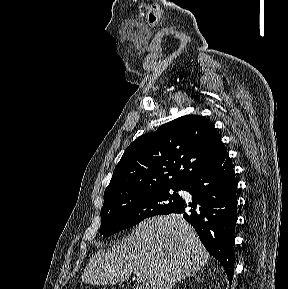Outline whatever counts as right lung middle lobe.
Returning a JSON list of instances; mask_svg holds the SVG:
<instances>
[{
  "instance_id": "dd1d6c3e",
  "label": "right lung middle lobe",
  "mask_w": 288,
  "mask_h": 289,
  "mask_svg": "<svg viewBox=\"0 0 288 289\" xmlns=\"http://www.w3.org/2000/svg\"><path fill=\"white\" fill-rule=\"evenodd\" d=\"M180 187L151 188L104 198L100 232L103 236L132 227L145 218L168 214L182 200Z\"/></svg>"
}]
</instances>
